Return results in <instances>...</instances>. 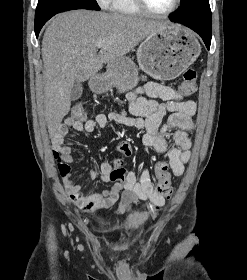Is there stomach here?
Wrapping results in <instances>:
<instances>
[{"label": "stomach", "instance_id": "obj_1", "mask_svg": "<svg viewBox=\"0 0 247 280\" xmlns=\"http://www.w3.org/2000/svg\"><path fill=\"white\" fill-rule=\"evenodd\" d=\"M201 46L187 28L172 26L158 29L142 41L137 49L139 67L158 80L178 77L197 59ZM138 83V69L129 57H121L107 65L106 73L90 81L91 89L104 93L116 87L120 92Z\"/></svg>", "mask_w": 247, "mask_h": 280}]
</instances>
